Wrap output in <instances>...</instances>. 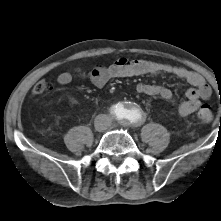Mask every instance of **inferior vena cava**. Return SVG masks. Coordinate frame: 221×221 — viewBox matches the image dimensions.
Returning <instances> with one entry per match:
<instances>
[{
    "label": "inferior vena cava",
    "instance_id": "inferior-vena-cava-1",
    "mask_svg": "<svg viewBox=\"0 0 221 221\" xmlns=\"http://www.w3.org/2000/svg\"><path fill=\"white\" fill-rule=\"evenodd\" d=\"M110 117L106 114H100L95 119V126L98 130H105L110 125Z\"/></svg>",
    "mask_w": 221,
    "mask_h": 221
}]
</instances>
